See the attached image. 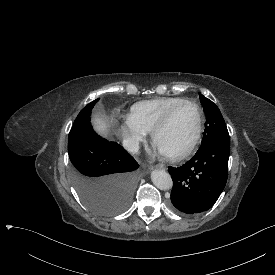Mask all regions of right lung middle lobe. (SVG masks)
Wrapping results in <instances>:
<instances>
[{
  "instance_id": "1",
  "label": "right lung middle lobe",
  "mask_w": 275,
  "mask_h": 275,
  "mask_svg": "<svg viewBox=\"0 0 275 275\" xmlns=\"http://www.w3.org/2000/svg\"><path fill=\"white\" fill-rule=\"evenodd\" d=\"M98 100L80 111L70 130L71 179L91 211L113 216L130 205L142 171L121 145L107 141L93 130L90 116Z\"/></svg>"
}]
</instances>
